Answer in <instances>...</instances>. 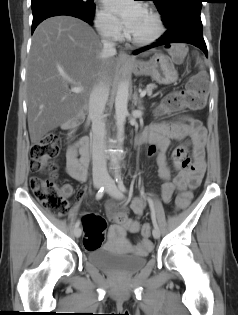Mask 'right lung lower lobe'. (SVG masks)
Instances as JSON below:
<instances>
[{
	"mask_svg": "<svg viewBox=\"0 0 238 315\" xmlns=\"http://www.w3.org/2000/svg\"><path fill=\"white\" fill-rule=\"evenodd\" d=\"M31 7L33 13L32 33L43 20L59 15L73 16L92 24L95 11L86 10L82 7L57 0L34 2L31 3Z\"/></svg>",
	"mask_w": 238,
	"mask_h": 315,
	"instance_id": "1",
	"label": "right lung lower lobe"
}]
</instances>
